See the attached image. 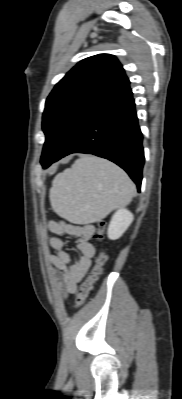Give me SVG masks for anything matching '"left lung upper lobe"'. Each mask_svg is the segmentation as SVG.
Instances as JSON below:
<instances>
[{
    "instance_id": "obj_1",
    "label": "left lung upper lobe",
    "mask_w": 182,
    "mask_h": 399,
    "mask_svg": "<svg viewBox=\"0 0 182 399\" xmlns=\"http://www.w3.org/2000/svg\"><path fill=\"white\" fill-rule=\"evenodd\" d=\"M129 83L122 65L110 54L88 57L73 67L46 100L42 166L56 159L86 120Z\"/></svg>"
}]
</instances>
